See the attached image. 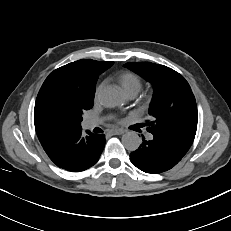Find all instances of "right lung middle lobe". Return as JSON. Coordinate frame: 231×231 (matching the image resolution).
<instances>
[{"label":"right lung middle lobe","instance_id":"dd1d6c3e","mask_svg":"<svg viewBox=\"0 0 231 231\" xmlns=\"http://www.w3.org/2000/svg\"><path fill=\"white\" fill-rule=\"evenodd\" d=\"M93 102H82L79 99L58 95L45 99L40 104L41 113L56 128L64 131L81 129L82 115L89 110Z\"/></svg>","mask_w":231,"mask_h":231}]
</instances>
